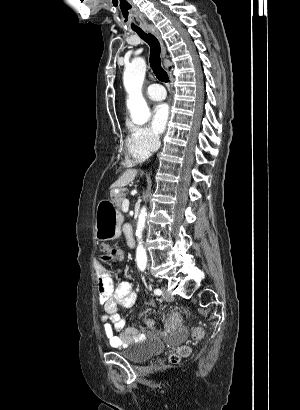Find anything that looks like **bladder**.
Listing matches in <instances>:
<instances>
[{
  "instance_id": "1",
  "label": "bladder",
  "mask_w": 300,
  "mask_h": 410,
  "mask_svg": "<svg viewBox=\"0 0 300 410\" xmlns=\"http://www.w3.org/2000/svg\"><path fill=\"white\" fill-rule=\"evenodd\" d=\"M164 350L162 342L138 343L132 348L123 351V356L133 364H141L151 359L158 352Z\"/></svg>"
}]
</instances>
